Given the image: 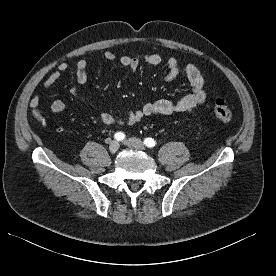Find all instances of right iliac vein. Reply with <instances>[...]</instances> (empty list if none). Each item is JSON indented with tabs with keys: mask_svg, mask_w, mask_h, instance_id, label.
Returning a JSON list of instances; mask_svg holds the SVG:
<instances>
[{
	"mask_svg": "<svg viewBox=\"0 0 276 276\" xmlns=\"http://www.w3.org/2000/svg\"><path fill=\"white\" fill-rule=\"evenodd\" d=\"M120 145L117 141H112L109 145V150L111 153H116L119 149Z\"/></svg>",
	"mask_w": 276,
	"mask_h": 276,
	"instance_id": "obj_1",
	"label": "right iliac vein"
}]
</instances>
